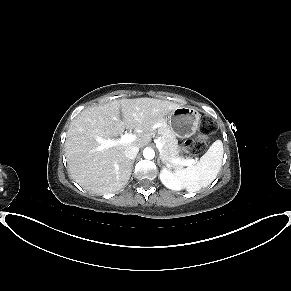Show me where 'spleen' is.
<instances>
[{
  "mask_svg": "<svg viewBox=\"0 0 291 291\" xmlns=\"http://www.w3.org/2000/svg\"><path fill=\"white\" fill-rule=\"evenodd\" d=\"M222 158L223 144L221 140H216L194 166L177 169L174 174L188 192H196L215 180L221 169Z\"/></svg>",
  "mask_w": 291,
  "mask_h": 291,
  "instance_id": "3e777b00",
  "label": "spleen"
}]
</instances>
